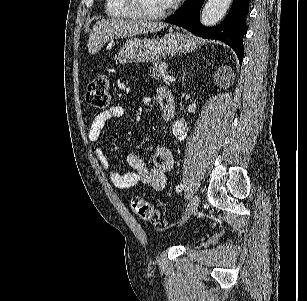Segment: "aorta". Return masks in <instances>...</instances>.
Returning <instances> with one entry per match:
<instances>
[{
    "instance_id": "obj_1",
    "label": "aorta",
    "mask_w": 307,
    "mask_h": 301,
    "mask_svg": "<svg viewBox=\"0 0 307 301\" xmlns=\"http://www.w3.org/2000/svg\"><path fill=\"white\" fill-rule=\"evenodd\" d=\"M230 2L231 0H207L200 16L202 24H205V26L217 24L225 16ZM187 130L188 126L184 118L176 120L172 126V132L177 138H185Z\"/></svg>"
}]
</instances>
